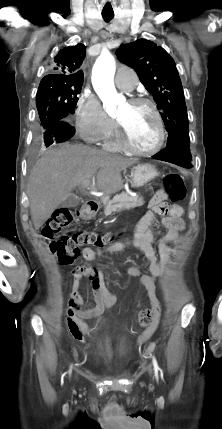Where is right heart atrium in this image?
I'll return each instance as SVG.
<instances>
[{"instance_id": "1", "label": "right heart atrium", "mask_w": 222, "mask_h": 429, "mask_svg": "<svg viewBox=\"0 0 222 429\" xmlns=\"http://www.w3.org/2000/svg\"><path fill=\"white\" fill-rule=\"evenodd\" d=\"M76 126L80 135L89 142L108 138L115 129V122L103 109L100 100L89 90H84L76 103Z\"/></svg>"}]
</instances>
